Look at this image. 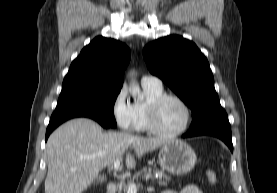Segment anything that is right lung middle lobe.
Instances as JSON below:
<instances>
[{
  "instance_id": "dd1d6c3e",
  "label": "right lung middle lobe",
  "mask_w": 277,
  "mask_h": 193,
  "mask_svg": "<svg viewBox=\"0 0 277 193\" xmlns=\"http://www.w3.org/2000/svg\"><path fill=\"white\" fill-rule=\"evenodd\" d=\"M120 90L75 87L62 90L54 112H76L116 127L114 103Z\"/></svg>"
}]
</instances>
